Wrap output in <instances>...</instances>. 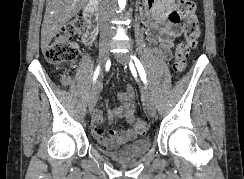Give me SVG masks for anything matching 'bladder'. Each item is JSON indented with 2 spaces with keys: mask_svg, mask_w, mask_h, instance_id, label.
Here are the masks:
<instances>
[{
  "mask_svg": "<svg viewBox=\"0 0 244 179\" xmlns=\"http://www.w3.org/2000/svg\"><path fill=\"white\" fill-rule=\"evenodd\" d=\"M151 148L150 138H139L130 144L114 151H104L106 155L114 159L126 160L143 156Z\"/></svg>",
  "mask_w": 244,
  "mask_h": 179,
  "instance_id": "obj_1",
  "label": "bladder"
}]
</instances>
